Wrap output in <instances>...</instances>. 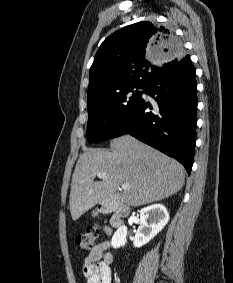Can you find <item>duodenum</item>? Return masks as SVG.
<instances>
[{
    "label": "duodenum",
    "instance_id": "duodenum-1",
    "mask_svg": "<svg viewBox=\"0 0 233 283\" xmlns=\"http://www.w3.org/2000/svg\"><path fill=\"white\" fill-rule=\"evenodd\" d=\"M102 211L111 214L110 224L113 228L121 227L130 212L129 207L117 196L106 201L102 205Z\"/></svg>",
    "mask_w": 233,
    "mask_h": 283
}]
</instances>
